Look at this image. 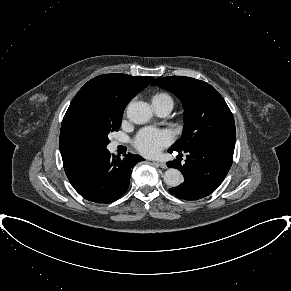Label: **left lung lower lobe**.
Listing matches in <instances>:
<instances>
[{
    "label": "left lung lower lobe",
    "mask_w": 291,
    "mask_h": 291,
    "mask_svg": "<svg viewBox=\"0 0 291 291\" xmlns=\"http://www.w3.org/2000/svg\"><path fill=\"white\" fill-rule=\"evenodd\" d=\"M235 142L217 141L196 145L177 151L186 153L185 164L178 160L168 161L170 168L182 171L185 180L169 192L184 200H198L214 192L226 177L233 160ZM174 150L169 149L172 153Z\"/></svg>",
    "instance_id": "1"
}]
</instances>
